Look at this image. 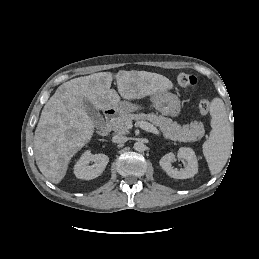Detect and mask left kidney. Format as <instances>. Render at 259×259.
Returning <instances> with one entry per match:
<instances>
[{
  "label": "left kidney",
  "mask_w": 259,
  "mask_h": 259,
  "mask_svg": "<svg viewBox=\"0 0 259 259\" xmlns=\"http://www.w3.org/2000/svg\"><path fill=\"white\" fill-rule=\"evenodd\" d=\"M177 157L187 162L185 168L177 169L172 166L171 163L174 161L175 155L171 152L167 153L160 159V166L170 177L175 179H187L197 174L198 162L193 149L189 147H181L178 150Z\"/></svg>",
  "instance_id": "1"
}]
</instances>
